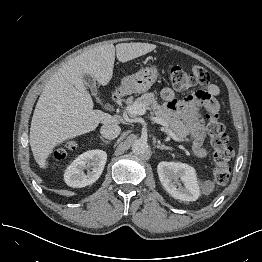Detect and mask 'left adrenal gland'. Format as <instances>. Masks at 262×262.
<instances>
[{
    "mask_svg": "<svg viewBox=\"0 0 262 262\" xmlns=\"http://www.w3.org/2000/svg\"><path fill=\"white\" fill-rule=\"evenodd\" d=\"M156 147H157L158 149H160V150H171L170 147L161 144L160 141H157V146H156Z\"/></svg>",
    "mask_w": 262,
    "mask_h": 262,
    "instance_id": "1",
    "label": "left adrenal gland"
}]
</instances>
